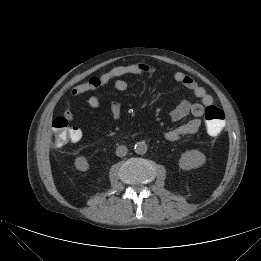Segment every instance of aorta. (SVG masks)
Instances as JSON below:
<instances>
[{
    "instance_id": "762f6f07",
    "label": "aorta",
    "mask_w": 261,
    "mask_h": 261,
    "mask_svg": "<svg viewBox=\"0 0 261 261\" xmlns=\"http://www.w3.org/2000/svg\"><path fill=\"white\" fill-rule=\"evenodd\" d=\"M134 149H135L136 154L144 155L147 152L148 147L145 142H137L135 144Z\"/></svg>"
}]
</instances>
